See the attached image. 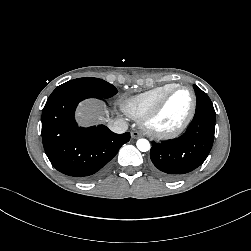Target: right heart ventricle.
I'll list each match as a JSON object with an SVG mask.
<instances>
[{
    "instance_id": "right-heart-ventricle-1",
    "label": "right heart ventricle",
    "mask_w": 251,
    "mask_h": 251,
    "mask_svg": "<svg viewBox=\"0 0 251 251\" xmlns=\"http://www.w3.org/2000/svg\"><path fill=\"white\" fill-rule=\"evenodd\" d=\"M176 84H165L142 92L121 101V110L129 117L140 120L156 104V102Z\"/></svg>"
}]
</instances>
